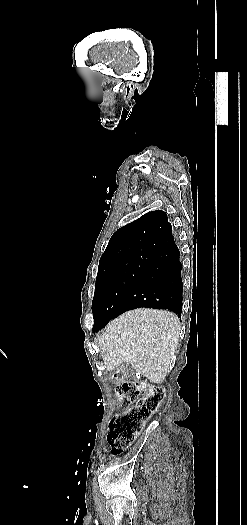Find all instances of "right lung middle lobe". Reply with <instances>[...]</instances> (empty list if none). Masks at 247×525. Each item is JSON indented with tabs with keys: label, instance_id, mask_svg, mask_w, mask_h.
I'll return each mask as SVG.
<instances>
[{
	"label": "right lung middle lobe",
	"instance_id": "obj_1",
	"mask_svg": "<svg viewBox=\"0 0 247 525\" xmlns=\"http://www.w3.org/2000/svg\"><path fill=\"white\" fill-rule=\"evenodd\" d=\"M152 256H146L133 266L113 271L98 272L92 301L94 326H105L117 316V309L146 267Z\"/></svg>",
	"mask_w": 247,
	"mask_h": 525
}]
</instances>
